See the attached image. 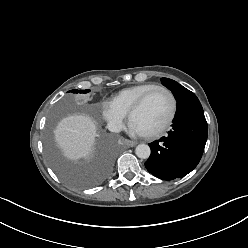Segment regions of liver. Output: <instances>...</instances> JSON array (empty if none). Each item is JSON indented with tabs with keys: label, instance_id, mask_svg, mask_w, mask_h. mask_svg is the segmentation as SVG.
Segmentation results:
<instances>
[{
	"label": "liver",
	"instance_id": "obj_1",
	"mask_svg": "<svg viewBox=\"0 0 248 248\" xmlns=\"http://www.w3.org/2000/svg\"><path fill=\"white\" fill-rule=\"evenodd\" d=\"M54 135L64 155L71 160H77L88 158L93 153L97 128L90 117L71 115L58 123Z\"/></svg>",
	"mask_w": 248,
	"mask_h": 248
}]
</instances>
